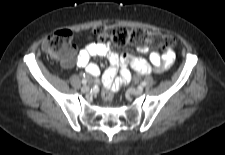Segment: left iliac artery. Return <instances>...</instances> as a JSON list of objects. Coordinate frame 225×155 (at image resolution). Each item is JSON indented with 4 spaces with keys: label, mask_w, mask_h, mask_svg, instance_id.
<instances>
[{
    "label": "left iliac artery",
    "mask_w": 225,
    "mask_h": 155,
    "mask_svg": "<svg viewBox=\"0 0 225 155\" xmlns=\"http://www.w3.org/2000/svg\"><path fill=\"white\" fill-rule=\"evenodd\" d=\"M146 86V82H141L140 87H145Z\"/></svg>",
    "instance_id": "obj_1"
}]
</instances>
